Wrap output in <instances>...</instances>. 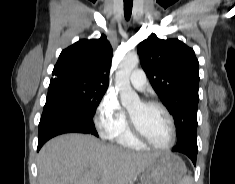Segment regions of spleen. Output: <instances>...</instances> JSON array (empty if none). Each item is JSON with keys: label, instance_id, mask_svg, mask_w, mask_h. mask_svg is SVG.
<instances>
[{"label": "spleen", "instance_id": "obj_1", "mask_svg": "<svg viewBox=\"0 0 235 184\" xmlns=\"http://www.w3.org/2000/svg\"><path fill=\"white\" fill-rule=\"evenodd\" d=\"M182 184H193V178H191V176H186V178H183Z\"/></svg>", "mask_w": 235, "mask_h": 184}]
</instances>
